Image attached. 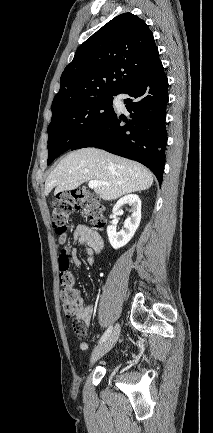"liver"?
I'll return each mask as SVG.
<instances>
[{
  "label": "liver",
  "instance_id": "liver-1",
  "mask_svg": "<svg viewBox=\"0 0 213 433\" xmlns=\"http://www.w3.org/2000/svg\"><path fill=\"white\" fill-rule=\"evenodd\" d=\"M87 181H98L95 193L103 200L146 190L153 184V175L138 162L96 148H83L69 153L49 174L45 195L74 190Z\"/></svg>",
  "mask_w": 213,
  "mask_h": 433
}]
</instances>
